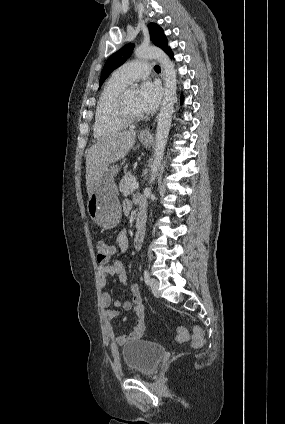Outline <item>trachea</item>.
<instances>
[{
    "mask_svg": "<svg viewBox=\"0 0 285 424\" xmlns=\"http://www.w3.org/2000/svg\"><path fill=\"white\" fill-rule=\"evenodd\" d=\"M154 69L156 72H160V67L158 65H155Z\"/></svg>",
    "mask_w": 285,
    "mask_h": 424,
    "instance_id": "trachea-1",
    "label": "trachea"
}]
</instances>
